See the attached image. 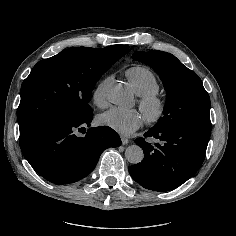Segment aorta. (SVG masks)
Here are the masks:
<instances>
[{"instance_id":"1","label":"aorta","mask_w":236,"mask_h":236,"mask_svg":"<svg viewBox=\"0 0 236 236\" xmlns=\"http://www.w3.org/2000/svg\"><path fill=\"white\" fill-rule=\"evenodd\" d=\"M107 99L111 103L120 104L127 100L128 95L123 87L117 84H110L106 90ZM125 157L131 164H138L144 158L143 150L138 145L128 146L125 150Z\"/></svg>"}]
</instances>
